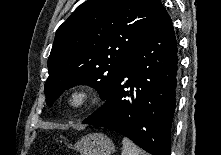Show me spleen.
<instances>
[{
    "mask_svg": "<svg viewBox=\"0 0 221 155\" xmlns=\"http://www.w3.org/2000/svg\"><path fill=\"white\" fill-rule=\"evenodd\" d=\"M122 144L123 150L121 155H145V153L128 138H123Z\"/></svg>",
    "mask_w": 221,
    "mask_h": 155,
    "instance_id": "obj_1",
    "label": "spleen"
}]
</instances>
